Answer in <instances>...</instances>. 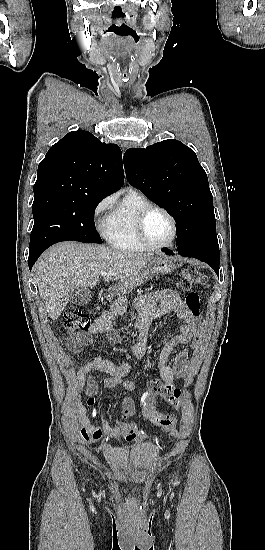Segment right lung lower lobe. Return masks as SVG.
<instances>
[{"label":"right lung lower lobe","instance_id":"1","mask_svg":"<svg viewBox=\"0 0 265 550\" xmlns=\"http://www.w3.org/2000/svg\"><path fill=\"white\" fill-rule=\"evenodd\" d=\"M42 252L43 251H39V252L29 254L28 265L30 270L32 269V266L34 265V263L36 262V260L38 259V257L41 255Z\"/></svg>","mask_w":265,"mask_h":550}]
</instances>
